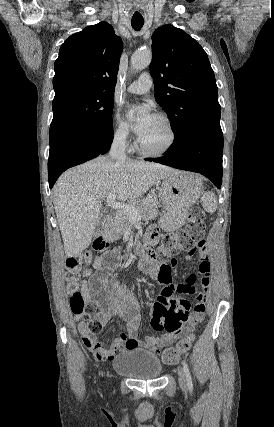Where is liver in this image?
<instances>
[{
	"label": "liver",
	"instance_id": "1",
	"mask_svg": "<svg viewBox=\"0 0 274 427\" xmlns=\"http://www.w3.org/2000/svg\"><path fill=\"white\" fill-rule=\"evenodd\" d=\"M168 166L111 160L99 156L64 172L53 188V204L67 257L88 247L100 221L103 200L114 196L120 202H135L154 184L176 174Z\"/></svg>",
	"mask_w": 274,
	"mask_h": 427
}]
</instances>
